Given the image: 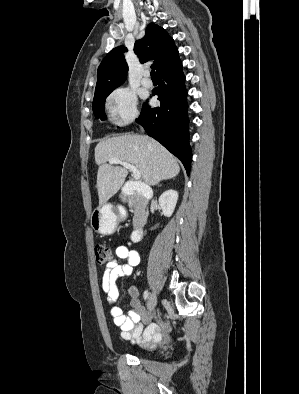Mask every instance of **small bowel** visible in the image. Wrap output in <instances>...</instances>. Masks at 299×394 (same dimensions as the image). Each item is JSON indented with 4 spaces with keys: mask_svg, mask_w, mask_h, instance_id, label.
Listing matches in <instances>:
<instances>
[{
    "mask_svg": "<svg viewBox=\"0 0 299 394\" xmlns=\"http://www.w3.org/2000/svg\"><path fill=\"white\" fill-rule=\"evenodd\" d=\"M132 241L120 244L115 249V260L106 265L102 274L101 285L111 305L110 314L115 325L121 330V336L146 348H154L158 344L166 343L169 339L170 326L161 319L148 314L139 298L136 286L128 287L130 310L124 315L121 308L115 305L118 297L117 280L129 275L140 262L139 254L132 249ZM117 260H125L118 263ZM147 325V327H145Z\"/></svg>",
    "mask_w": 299,
    "mask_h": 394,
    "instance_id": "c3829d8e",
    "label": "small bowel"
}]
</instances>
